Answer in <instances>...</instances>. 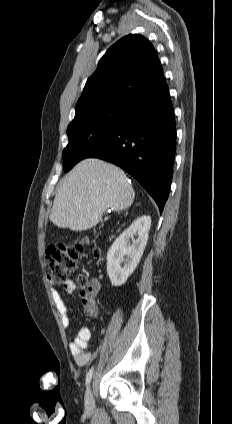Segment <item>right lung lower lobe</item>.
I'll return each mask as SVG.
<instances>
[{
  "instance_id": "right-lung-lower-lobe-1",
  "label": "right lung lower lobe",
  "mask_w": 232,
  "mask_h": 424,
  "mask_svg": "<svg viewBox=\"0 0 232 424\" xmlns=\"http://www.w3.org/2000/svg\"><path fill=\"white\" fill-rule=\"evenodd\" d=\"M175 140L173 106L164 83L134 103L127 122L86 158H99L120 166L146 189L162 212L172 180Z\"/></svg>"
}]
</instances>
